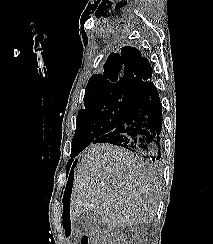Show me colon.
Returning <instances> with one entry per match:
<instances>
[{"instance_id": "colon-1", "label": "colon", "mask_w": 213, "mask_h": 244, "mask_svg": "<svg viewBox=\"0 0 213 244\" xmlns=\"http://www.w3.org/2000/svg\"><path fill=\"white\" fill-rule=\"evenodd\" d=\"M80 244H114V242L103 233H95L91 236H83Z\"/></svg>"}]
</instances>
